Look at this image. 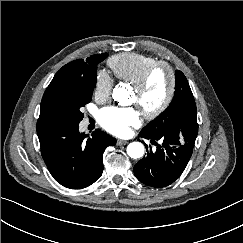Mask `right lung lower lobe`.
<instances>
[{
	"mask_svg": "<svg viewBox=\"0 0 243 243\" xmlns=\"http://www.w3.org/2000/svg\"><path fill=\"white\" fill-rule=\"evenodd\" d=\"M78 125L37 122L41 154L48 170L57 182L71 189L88 187L100 178L103 153L116 143L99 129L87 138Z\"/></svg>",
	"mask_w": 243,
	"mask_h": 243,
	"instance_id": "right-lung-lower-lobe-1",
	"label": "right lung lower lobe"
}]
</instances>
